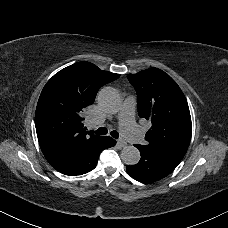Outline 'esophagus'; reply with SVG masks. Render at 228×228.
Masks as SVG:
<instances>
[{
    "label": "esophagus",
    "instance_id": "obj_1",
    "mask_svg": "<svg viewBox=\"0 0 228 228\" xmlns=\"http://www.w3.org/2000/svg\"><path fill=\"white\" fill-rule=\"evenodd\" d=\"M117 144H118L119 146H121V147L126 146V142H125L123 139L117 140Z\"/></svg>",
    "mask_w": 228,
    "mask_h": 228
}]
</instances>
